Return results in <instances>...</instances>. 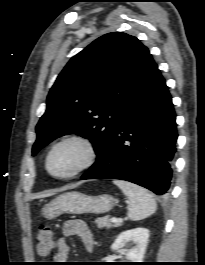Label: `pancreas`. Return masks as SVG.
<instances>
[{
	"label": "pancreas",
	"instance_id": "obj_1",
	"mask_svg": "<svg viewBox=\"0 0 205 265\" xmlns=\"http://www.w3.org/2000/svg\"><path fill=\"white\" fill-rule=\"evenodd\" d=\"M95 223L99 228H111L120 226V224L118 223L112 224L111 219L108 216L97 218L95 220Z\"/></svg>",
	"mask_w": 205,
	"mask_h": 265
}]
</instances>
